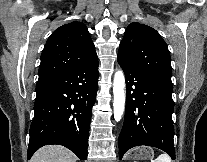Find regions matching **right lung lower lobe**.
<instances>
[{
    "label": "right lung lower lobe",
    "instance_id": "right-lung-lower-lobe-1",
    "mask_svg": "<svg viewBox=\"0 0 207 162\" xmlns=\"http://www.w3.org/2000/svg\"><path fill=\"white\" fill-rule=\"evenodd\" d=\"M98 60L38 79L27 153L61 144L87 159L92 107L98 89Z\"/></svg>",
    "mask_w": 207,
    "mask_h": 162
}]
</instances>
